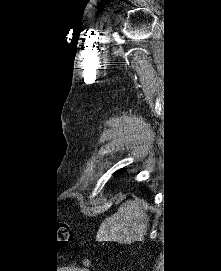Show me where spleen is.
<instances>
[{
	"label": "spleen",
	"mask_w": 221,
	"mask_h": 271,
	"mask_svg": "<svg viewBox=\"0 0 221 271\" xmlns=\"http://www.w3.org/2000/svg\"><path fill=\"white\" fill-rule=\"evenodd\" d=\"M148 225L149 217L142 209L140 201H126L118 207L116 213L104 219L98 237L101 241L119 243L143 241Z\"/></svg>",
	"instance_id": "spleen-1"
}]
</instances>
